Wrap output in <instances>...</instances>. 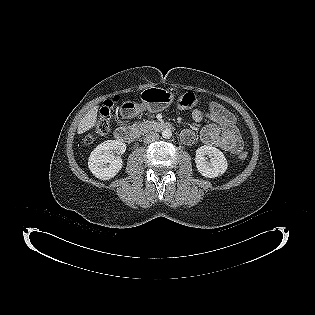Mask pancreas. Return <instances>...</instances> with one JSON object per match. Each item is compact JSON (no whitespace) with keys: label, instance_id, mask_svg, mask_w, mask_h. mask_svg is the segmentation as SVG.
<instances>
[{"label":"pancreas","instance_id":"1","mask_svg":"<svg viewBox=\"0 0 315 315\" xmlns=\"http://www.w3.org/2000/svg\"><path fill=\"white\" fill-rule=\"evenodd\" d=\"M149 123L148 122H142V123H137L134 124L135 129H137L138 131H140L141 133H144L146 131L149 130Z\"/></svg>","mask_w":315,"mask_h":315}]
</instances>
